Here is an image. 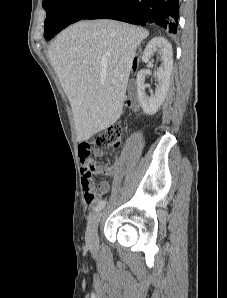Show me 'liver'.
<instances>
[{
    "label": "liver",
    "instance_id": "liver-1",
    "mask_svg": "<svg viewBox=\"0 0 227 298\" xmlns=\"http://www.w3.org/2000/svg\"><path fill=\"white\" fill-rule=\"evenodd\" d=\"M148 31L101 19L64 29L48 50L70 102L77 141L113 125L121 116L136 50Z\"/></svg>",
    "mask_w": 227,
    "mask_h": 298
}]
</instances>
